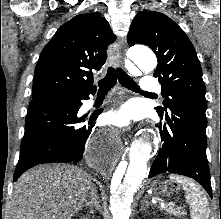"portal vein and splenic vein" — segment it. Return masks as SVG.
Returning a JSON list of instances; mask_svg holds the SVG:
<instances>
[{"instance_id":"portal-vein-and-splenic-vein-1","label":"portal vein and splenic vein","mask_w":221,"mask_h":219,"mask_svg":"<svg viewBox=\"0 0 221 219\" xmlns=\"http://www.w3.org/2000/svg\"><path fill=\"white\" fill-rule=\"evenodd\" d=\"M169 205H170V206H175V203H170ZM160 206L164 208V207H165V204H164V203H160Z\"/></svg>"}]
</instances>
